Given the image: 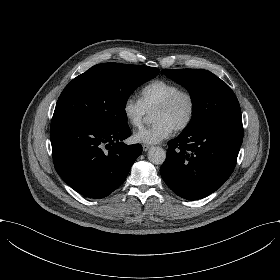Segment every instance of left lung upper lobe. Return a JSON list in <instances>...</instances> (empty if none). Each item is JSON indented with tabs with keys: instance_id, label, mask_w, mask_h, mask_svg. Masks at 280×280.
Instances as JSON below:
<instances>
[{
	"instance_id": "obj_1",
	"label": "left lung upper lobe",
	"mask_w": 280,
	"mask_h": 280,
	"mask_svg": "<svg viewBox=\"0 0 280 280\" xmlns=\"http://www.w3.org/2000/svg\"><path fill=\"white\" fill-rule=\"evenodd\" d=\"M162 73L184 86L192 99V118L189 131L217 118L241 113L231 88L216 75L204 69H164Z\"/></svg>"
}]
</instances>
